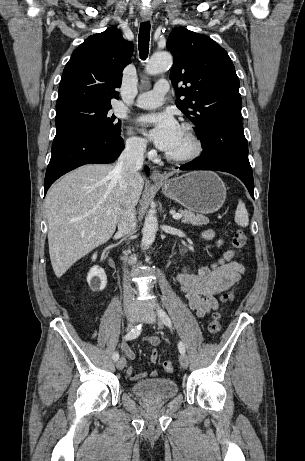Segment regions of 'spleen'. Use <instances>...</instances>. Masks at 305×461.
Instances as JSON below:
<instances>
[{
    "label": "spleen",
    "instance_id": "obj_1",
    "mask_svg": "<svg viewBox=\"0 0 305 461\" xmlns=\"http://www.w3.org/2000/svg\"><path fill=\"white\" fill-rule=\"evenodd\" d=\"M234 220L238 226L247 227L249 225L248 212L246 210L245 204L241 200L238 202Z\"/></svg>",
    "mask_w": 305,
    "mask_h": 461
}]
</instances>
